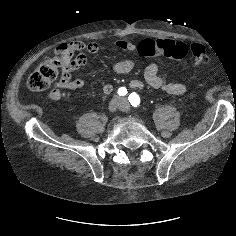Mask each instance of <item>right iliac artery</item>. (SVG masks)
Masks as SVG:
<instances>
[{"instance_id":"obj_1","label":"right iliac artery","mask_w":236,"mask_h":236,"mask_svg":"<svg viewBox=\"0 0 236 236\" xmlns=\"http://www.w3.org/2000/svg\"><path fill=\"white\" fill-rule=\"evenodd\" d=\"M117 93L119 96H125L127 94V89L125 87H120Z\"/></svg>"}]
</instances>
